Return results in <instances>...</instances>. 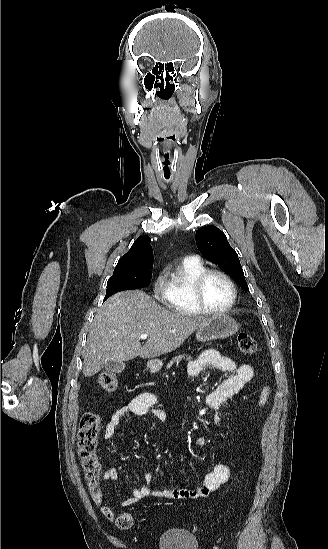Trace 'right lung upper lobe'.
I'll use <instances>...</instances> for the list:
<instances>
[{"label": "right lung upper lobe", "mask_w": 328, "mask_h": 549, "mask_svg": "<svg viewBox=\"0 0 328 549\" xmlns=\"http://www.w3.org/2000/svg\"><path fill=\"white\" fill-rule=\"evenodd\" d=\"M150 241L151 239L148 236L139 237L133 243L130 250L119 259L114 271L126 268L139 262L153 260V251Z\"/></svg>", "instance_id": "cb5924a9"}]
</instances>
